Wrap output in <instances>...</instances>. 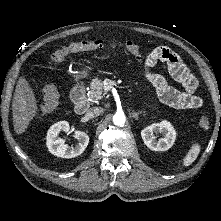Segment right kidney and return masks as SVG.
Instances as JSON below:
<instances>
[{"instance_id": "right-kidney-1", "label": "right kidney", "mask_w": 221, "mask_h": 221, "mask_svg": "<svg viewBox=\"0 0 221 221\" xmlns=\"http://www.w3.org/2000/svg\"><path fill=\"white\" fill-rule=\"evenodd\" d=\"M69 130L70 126L67 121L57 122L49 128L46 145L50 153L62 158H73L84 152L89 143V136L85 132L74 131V137L78 140V144L69 147L65 144V140L59 136L62 131L69 132Z\"/></svg>"}]
</instances>
